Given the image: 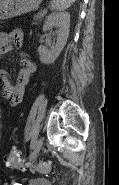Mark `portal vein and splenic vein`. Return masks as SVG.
<instances>
[{
  "mask_svg": "<svg viewBox=\"0 0 119 185\" xmlns=\"http://www.w3.org/2000/svg\"><path fill=\"white\" fill-rule=\"evenodd\" d=\"M47 12V10H45V9H43V10H41V13H46Z\"/></svg>",
  "mask_w": 119,
  "mask_h": 185,
  "instance_id": "18ae733b",
  "label": "portal vein and splenic vein"
}]
</instances>
